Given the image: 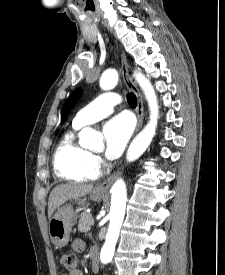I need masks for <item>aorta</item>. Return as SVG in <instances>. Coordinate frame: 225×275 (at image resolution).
I'll return each mask as SVG.
<instances>
[{
	"mask_svg": "<svg viewBox=\"0 0 225 275\" xmlns=\"http://www.w3.org/2000/svg\"><path fill=\"white\" fill-rule=\"evenodd\" d=\"M134 78L141 87L150 111V120L144 129L134 138L126 154L128 162L138 159L150 145L156 131L159 115L158 100L150 80L140 71L134 72ZM118 83V73L115 69L106 70L100 78V87L111 90ZM80 144L85 148L96 149L102 145V137L93 129L83 128L79 133ZM111 206L108 214L109 226L105 243L101 249L100 260L103 264L109 263L114 255L115 246L119 238L120 229L125 216L127 190L123 179H118L111 190Z\"/></svg>",
	"mask_w": 225,
	"mask_h": 275,
	"instance_id": "762f6f07",
	"label": "aorta"
}]
</instances>
